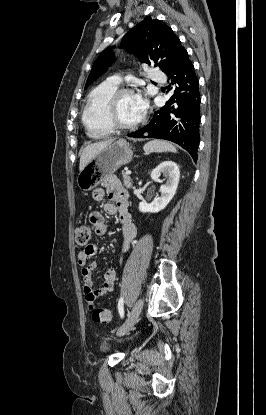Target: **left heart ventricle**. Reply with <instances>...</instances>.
I'll return each mask as SVG.
<instances>
[{"mask_svg": "<svg viewBox=\"0 0 266 415\" xmlns=\"http://www.w3.org/2000/svg\"><path fill=\"white\" fill-rule=\"evenodd\" d=\"M142 112L137 108L132 94L122 96L117 103V116L124 124L137 122Z\"/></svg>", "mask_w": 266, "mask_h": 415, "instance_id": "b2bd125f", "label": "left heart ventricle"}]
</instances>
